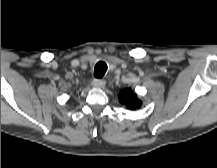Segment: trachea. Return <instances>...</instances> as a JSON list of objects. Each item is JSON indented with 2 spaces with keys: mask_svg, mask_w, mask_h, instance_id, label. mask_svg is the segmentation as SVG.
I'll list each match as a JSON object with an SVG mask.
<instances>
[{
  "mask_svg": "<svg viewBox=\"0 0 217 168\" xmlns=\"http://www.w3.org/2000/svg\"><path fill=\"white\" fill-rule=\"evenodd\" d=\"M107 70V65L106 63L99 61L96 65H95V69H94V76L95 78L101 79L105 72Z\"/></svg>",
  "mask_w": 217,
  "mask_h": 168,
  "instance_id": "1",
  "label": "trachea"
}]
</instances>
